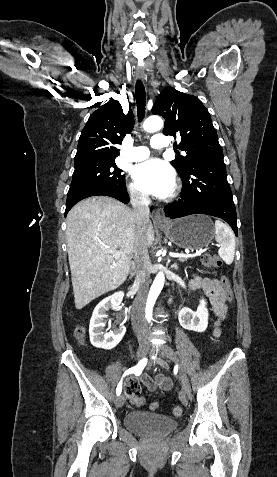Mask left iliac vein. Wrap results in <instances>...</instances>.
Listing matches in <instances>:
<instances>
[{
    "mask_svg": "<svg viewBox=\"0 0 277 477\" xmlns=\"http://www.w3.org/2000/svg\"><path fill=\"white\" fill-rule=\"evenodd\" d=\"M161 353L165 357H167L170 361L178 364L179 361H178V357H177L176 353L168 345H163L161 347ZM163 367L167 368V365L163 364ZM179 371H180V380H181V384H182V393L185 396L190 397V395H191L190 383H189V380H188V377H187L186 373L184 372L183 368L180 365H179Z\"/></svg>",
    "mask_w": 277,
    "mask_h": 477,
    "instance_id": "4c4485c4",
    "label": "left iliac vein"
}]
</instances>
